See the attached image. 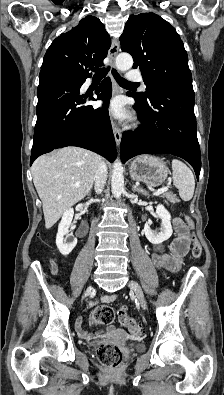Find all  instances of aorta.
<instances>
[{
    "label": "aorta",
    "instance_id": "1",
    "mask_svg": "<svg viewBox=\"0 0 224 395\" xmlns=\"http://www.w3.org/2000/svg\"><path fill=\"white\" fill-rule=\"evenodd\" d=\"M133 65V59L128 53H120L116 57V67L119 71H127ZM124 190V176L123 166L121 161L117 158L113 164L111 175V191L115 198H120Z\"/></svg>",
    "mask_w": 224,
    "mask_h": 395
}]
</instances>
